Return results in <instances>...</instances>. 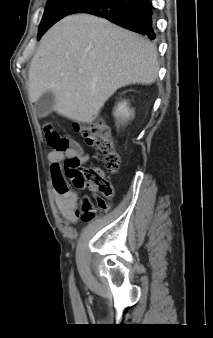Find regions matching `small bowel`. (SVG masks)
I'll return each instance as SVG.
<instances>
[{"label":"small bowel","instance_id":"small-bowel-1","mask_svg":"<svg viewBox=\"0 0 213 338\" xmlns=\"http://www.w3.org/2000/svg\"><path fill=\"white\" fill-rule=\"evenodd\" d=\"M45 139L48 145L47 158L53 163L70 157H77L81 162H85L88 157L83 154L78 142L69 139L70 147L64 152L57 150L62 136L55 131L53 124L48 123L44 126ZM54 203L61 216L69 221H75L77 216H82L87 212L90 206L89 200L81 197L78 193L71 190H56L54 194Z\"/></svg>","mask_w":213,"mask_h":338}]
</instances>
